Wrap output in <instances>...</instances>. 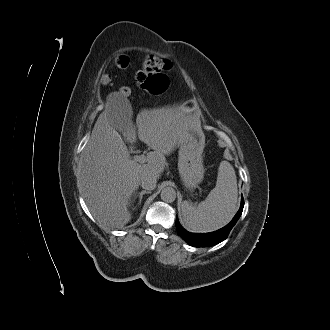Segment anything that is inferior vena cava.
Wrapping results in <instances>:
<instances>
[{
  "label": "inferior vena cava",
  "instance_id": "1",
  "mask_svg": "<svg viewBox=\"0 0 330 330\" xmlns=\"http://www.w3.org/2000/svg\"><path fill=\"white\" fill-rule=\"evenodd\" d=\"M141 186L146 190H153L156 187L157 178L153 174H145L141 177Z\"/></svg>",
  "mask_w": 330,
  "mask_h": 330
}]
</instances>
